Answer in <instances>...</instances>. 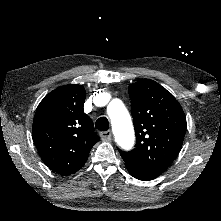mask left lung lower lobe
Returning a JSON list of instances; mask_svg holds the SVG:
<instances>
[{
  "instance_id": "left-lung-lower-lobe-1",
  "label": "left lung lower lobe",
  "mask_w": 221,
  "mask_h": 221,
  "mask_svg": "<svg viewBox=\"0 0 221 221\" xmlns=\"http://www.w3.org/2000/svg\"><path fill=\"white\" fill-rule=\"evenodd\" d=\"M128 171H129V173H130L133 177H135V178H137V179H139V180H144V181H147V180H148V179L144 178V177L141 176L139 173H137V172H135V171H133V170L128 169Z\"/></svg>"
}]
</instances>
